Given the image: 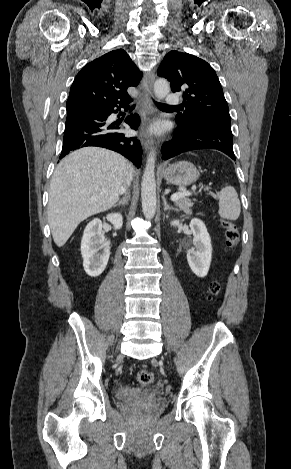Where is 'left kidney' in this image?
Here are the masks:
<instances>
[{
    "mask_svg": "<svg viewBox=\"0 0 291 469\" xmlns=\"http://www.w3.org/2000/svg\"><path fill=\"white\" fill-rule=\"evenodd\" d=\"M171 225H179V220L172 221ZM189 226L194 237L193 247L187 253V261L192 272L203 278L208 274L212 260L211 238L201 220L192 219Z\"/></svg>",
    "mask_w": 291,
    "mask_h": 469,
    "instance_id": "obj_1",
    "label": "left kidney"
}]
</instances>
